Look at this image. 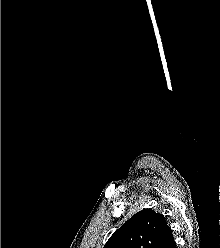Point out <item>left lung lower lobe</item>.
<instances>
[{"instance_id":"1","label":"left lung lower lobe","mask_w":220,"mask_h":248,"mask_svg":"<svg viewBox=\"0 0 220 248\" xmlns=\"http://www.w3.org/2000/svg\"><path fill=\"white\" fill-rule=\"evenodd\" d=\"M168 248H176V243H175V241H173V242L171 243V245H170Z\"/></svg>"}]
</instances>
